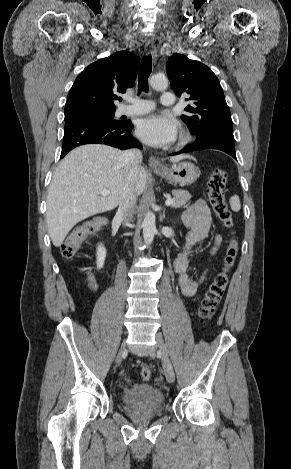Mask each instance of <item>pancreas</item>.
<instances>
[{
	"mask_svg": "<svg viewBox=\"0 0 291 469\" xmlns=\"http://www.w3.org/2000/svg\"><path fill=\"white\" fill-rule=\"evenodd\" d=\"M173 204L171 205L174 208H179L184 206L191 198L189 192L186 190H173Z\"/></svg>",
	"mask_w": 291,
	"mask_h": 469,
	"instance_id": "cf45deb5",
	"label": "pancreas"
}]
</instances>
